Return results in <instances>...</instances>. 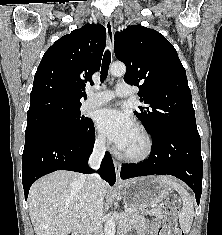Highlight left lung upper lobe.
I'll return each instance as SVG.
<instances>
[{
	"instance_id": "5c2ea615",
	"label": "left lung upper lobe",
	"mask_w": 222,
	"mask_h": 235,
	"mask_svg": "<svg viewBox=\"0 0 222 235\" xmlns=\"http://www.w3.org/2000/svg\"><path fill=\"white\" fill-rule=\"evenodd\" d=\"M115 56L124 62V81L139 87L141 102L134 111L151 136L167 130L198 134L186 72L171 43L159 32L128 26L115 36Z\"/></svg>"
}]
</instances>
